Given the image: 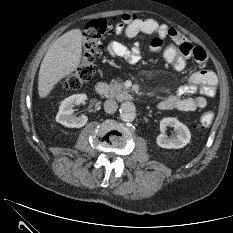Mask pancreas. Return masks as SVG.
I'll return each instance as SVG.
<instances>
[{
    "instance_id": "pancreas-1",
    "label": "pancreas",
    "mask_w": 233,
    "mask_h": 233,
    "mask_svg": "<svg viewBox=\"0 0 233 233\" xmlns=\"http://www.w3.org/2000/svg\"><path fill=\"white\" fill-rule=\"evenodd\" d=\"M129 90L125 88L123 83L113 81L110 83V96H119L122 93H127Z\"/></svg>"
}]
</instances>
